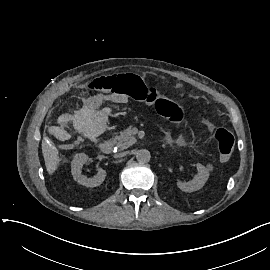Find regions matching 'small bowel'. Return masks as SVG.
I'll list each match as a JSON object with an SVG mask.
<instances>
[{
	"mask_svg": "<svg viewBox=\"0 0 270 270\" xmlns=\"http://www.w3.org/2000/svg\"><path fill=\"white\" fill-rule=\"evenodd\" d=\"M103 101H110L116 104H126L128 102V98L123 94H102L96 97V103H101ZM64 149H69L70 144L65 143L61 146Z\"/></svg>",
	"mask_w": 270,
	"mask_h": 270,
	"instance_id": "obj_1",
	"label": "small bowel"
}]
</instances>
